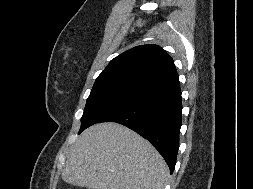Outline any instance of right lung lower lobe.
I'll return each mask as SVG.
<instances>
[{
	"label": "right lung lower lobe",
	"instance_id": "98d812e1",
	"mask_svg": "<svg viewBox=\"0 0 253 189\" xmlns=\"http://www.w3.org/2000/svg\"><path fill=\"white\" fill-rule=\"evenodd\" d=\"M179 81L153 89L137 101L116 110L98 122L111 121L145 137L163 156L173 173L182 125Z\"/></svg>",
	"mask_w": 253,
	"mask_h": 189
}]
</instances>
